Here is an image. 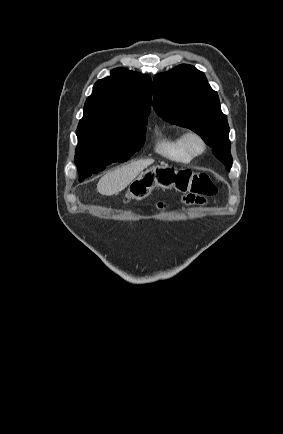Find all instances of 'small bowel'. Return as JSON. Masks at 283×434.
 <instances>
[{
  "label": "small bowel",
  "mask_w": 283,
  "mask_h": 434,
  "mask_svg": "<svg viewBox=\"0 0 283 434\" xmlns=\"http://www.w3.org/2000/svg\"><path fill=\"white\" fill-rule=\"evenodd\" d=\"M184 201L188 204H202L204 203L205 199L202 196H198L195 194H191L188 193L185 197H184ZM158 207L162 208L163 207V203H158Z\"/></svg>",
  "instance_id": "obj_1"
}]
</instances>
